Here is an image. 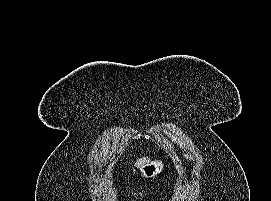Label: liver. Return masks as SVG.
I'll return each instance as SVG.
<instances>
[{"mask_svg":"<svg viewBox=\"0 0 271 201\" xmlns=\"http://www.w3.org/2000/svg\"><path fill=\"white\" fill-rule=\"evenodd\" d=\"M149 161H150V158H148V157H143V158L138 159V160L136 161L135 166H136L137 168H140L143 164H145V163H147V162H149Z\"/></svg>","mask_w":271,"mask_h":201,"instance_id":"liver-1","label":"liver"}]
</instances>
